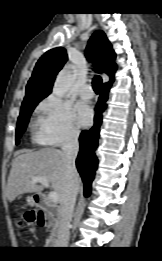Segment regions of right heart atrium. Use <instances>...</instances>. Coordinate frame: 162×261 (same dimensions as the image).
Masks as SVG:
<instances>
[{
    "label": "right heart atrium",
    "instance_id": "d8ad5b80",
    "mask_svg": "<svg viewBox=\"0 0 162 261\" xmlns=\"http://www.w3.org/2000/svg\"><path fill=\"white\" fill-rule=\"evenodd\" d=\"M37 120V141L43 144L61 145L73 142L78 138L79 129L76 125L72 108L56 95L46 97L39 107Z\"/></svg>",
    "mask_w": 162,
    "mask_h": 261
}]
</instances>
